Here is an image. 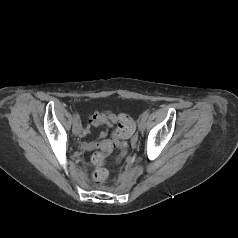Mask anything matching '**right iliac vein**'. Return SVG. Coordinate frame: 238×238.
Listing matches in <instances>:
<instances>
[{
  "mask_svg": "<svg viewBox=\"0 0 238 238\" xmlns=\"http://www.w3.org/2000/svg\"><path fill=\"white\" fill-rule=\"evenodd\" d=\"M72 131L75 135H77V136L80 135V133L82 131V126H81V123L79 121L73 123Z\"/></svg>",
  "mask_w": 238,
  "mask_h": 238,
  "instance_id": "1",
  "label": "right iliac vein"
}]
</instances>
